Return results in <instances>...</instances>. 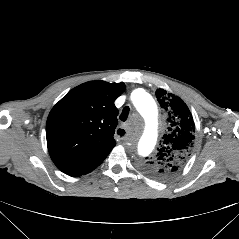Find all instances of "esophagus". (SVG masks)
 <instances>
[{"instance_id":"obj_1","label":"esophagus","mask_w":239,"mask_h":239,"mask_svg":"<svg viewBox=\"0 0 239 239\" xmlns=\"http://www.w3.org/2000/svg\"><path fill=\"white\" fill-rule=\"evenodd\" d=\"M116 136L121 140H125L127 138V130L122 126L118 127L116 130Z\"/></svg>"}]
</instances>
